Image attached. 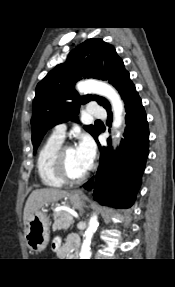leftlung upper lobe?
I'll return each mask as SVG.
<instances>
[{
    "mask_svg": "<svg viewBox=\"0 0 175 287\" xmlns=\"http://www.w3.org/2000/svg\"><path fill=\"white\" fill-rule=\"evenodd\" d=\"M82 77L108 80L118 90L122 99L133 84L129 72L112 45L99 38L84 41L36 87L31 120L34 149L39 146L48 129L68 120L77 121L80 103L93 100L111 111L109 102L103 97L78 95L74 84ZM84 128L94 138L99 133L92 125Z\"/></svg>",
    "mask_w": 175,
    "mask_h": 287,
    "instance_id": "1",
    "label": "left lung upper lobe"
}]
</instances>
